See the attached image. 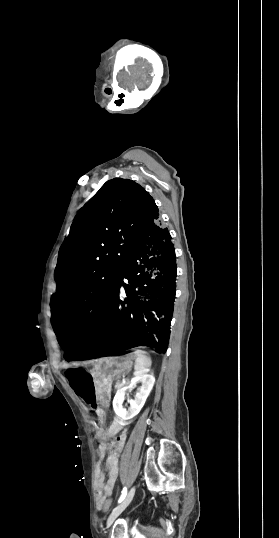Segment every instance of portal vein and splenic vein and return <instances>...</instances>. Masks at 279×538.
<instances>
[{
    "instance_id": "1",
    "label": "portal vein and splenic vein",
    "mask_w": 279,
    "mask_h": 538,
    "mask_svg": "<svg viewBox=\"0 0 279 538\" xmlns=\"http://www.w3.org/2000/svg\"><path fill=\"white\" fill-rule=\"evenodd\" d=\"M122 383H126V377H123Z\"/></svg>"
}]
</instances>
